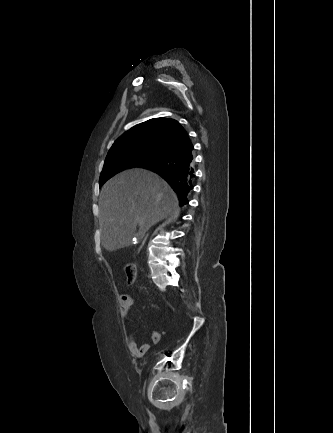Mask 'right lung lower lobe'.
Here are the masks:
<instances>
[{
  "label": "right lung lower lobe",
  "mask_w": 333,
  "mask_h": 433,
  "mask_svg": "<svg viewBox=\"0 0 333 433\" xmlns=\"http://www.w3.org/2000/svg\"><path fill=\"white\" fill-rule=\"evenodd\" d=\"M145 168L153 170L172 186L179 196L180 205L188 203L187 195L193 189L195 176L192 143Z\"/></svg>",
  "instance_id": "right-lung-lower-lobe-1"
}]
</instances>
